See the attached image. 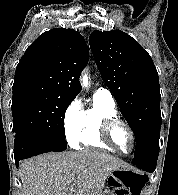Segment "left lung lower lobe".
Masks as SVG:
<instances>
[{"label":"left lung lower lobe","instance_id":"1","mask_svg":"<svg viewBox=\"0 0 178 195\" xmlns=\"http://www.w3.org/2000/svg\"><path fill=\"white\" fill-rule=\"evenodd\" d=\"M158 154L159 149L142 153L134 156L132 162L140 168L144 169L146 172L152 173L156 168Z\"/></svg>","mask_w":178,"mask_h":195}]
</instances>
